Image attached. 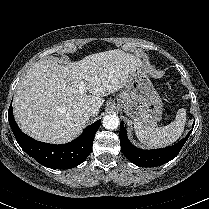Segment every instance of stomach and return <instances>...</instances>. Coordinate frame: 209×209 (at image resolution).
Returning a JSON list of instances; mask_svg holds the SVG:
<instances>
[{
    "label": "stomach",
    "mask_w": 209,
    "mask_h": 209,
    "mask_svg": "<svg viewBox=\"0 0 209 209\" xmlns=\"http://www.w3.org/2000/svg\"><path fill=\"white\" fill-rule=\"evenodd\" d=\"M117 104L129 118L143 126L154 127L162 119V101L145 67L131 74Z\"/></svg>",
    "instance_id": "obj_1"
}]
</instances>
